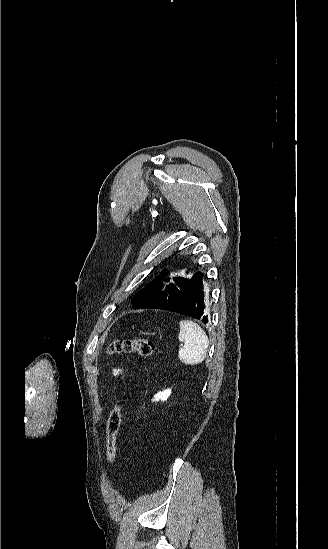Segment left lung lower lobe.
Instances as JSON below:
<instances>
[{
  "label": "left lung lower lobe",
  "instance_id": "1",
  "mask_svg": "<svg viewBox=\"0 0 328 549\" xmlns=\"http://www.w3.org/2000/svg\"><path fill=\"white\" fill-rule=\"evenodd\" d=\"M203 286L202 273L197 272L193 276L182 278L170 299L157 301L143 308L176 312L201 320L206 324L208 318L204 315L205 301Z\"/></svg>",
  "mask_w": 328,
  "mask_h": 549
}]
</instances>
